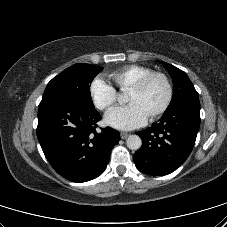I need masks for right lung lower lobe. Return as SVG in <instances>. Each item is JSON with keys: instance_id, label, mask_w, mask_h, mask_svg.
<instances>
[{"instance_id": "1", "label": "right lung lower lobe", "mask_w": 227, "mask_h": 227, "mask_svg": "<svg viewBox=\"0 0 227 227\" xmlns=\"http://www.w3.org/2000/svg\"><path fill=\"white\" fill-rule=\"evenodd\" d=\"M100 114L68 97L41 101L37 137L54 170L72 182H86L106 168L120 140L111 127L97 130Z\"/></svg>"}]
</instances>
